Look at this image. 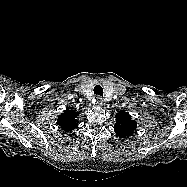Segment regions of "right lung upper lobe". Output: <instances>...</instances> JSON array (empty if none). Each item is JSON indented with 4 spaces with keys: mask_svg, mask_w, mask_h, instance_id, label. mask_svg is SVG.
Instances as JSON below:
<instances>
[{
    "mask_svg": "<svg viewBox=\"0 0 187 187\" xmlns=\"http://www.w3.org/2000/svg\"><path fill=\"white\" fill-rule=\"evenodd\" d=\"M78 115V112L67 108L61 115H59L57 123L64 131H72L78 125L76 119Z\"/></svg>",
    "mask_w": 187,
    "mask_h": 187,
    "instance_id": "right-lung-upper-lobe-1",
    "label": "right lung upper lobe"
}]
</instances>
